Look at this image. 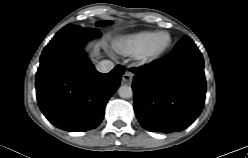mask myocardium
Listing matches in <instances>:
<instances>
[{
  "mask_svg": "<svg viewBox=\"0 0 248 158\" xmlns=\"http://www.w3.org/2000/svg\"><path fill=\"white\" fill-rule=\"evenodd\" d=\"M161 35H166L168 41L166 45L163 46L162 48H155L154 42L157 39V37ZM171 45H172V36L169 32L167 31L154 32L151 38L149 39L148 43L146 44L145 48L143 49V51L139 54V59L143 63L154 62L160 59L162 56H164L170 49Z\"/></svg>",
  "mask_w": 248,
  "mask_h": 158,
  "instance_id": "f54148a6",
  "label": "myocardium"
}]
</instances>
